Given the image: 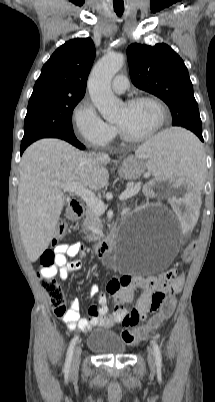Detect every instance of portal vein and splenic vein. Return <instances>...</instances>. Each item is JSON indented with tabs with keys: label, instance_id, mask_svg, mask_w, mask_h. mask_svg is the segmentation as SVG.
<instances>
[{
	"label": "portal vein and splenic vein",
	"instance_id": "portal-vein-and-splenic-vein-1",
	"mask_svg": "<svg viewBox=\"0 0 215 402\" xmlns=\"http://www.w3.org/2000/svg\"><path fill=\"white\" fill-rule=\"evenodd\" d=\"M57 186L61 187L64 192L74 193L77 196L81 197L87 206L92 209L94 212L98 214H103L105 212V204L98 199L93 192L82 186L78 182H70V183H61L56 184ZM141 185L138 184L137 186H132L127 188L119 197L120 200H125L137 194L140 191Z\"/></svg>",
	"mask_w": 215,
	"mask_h": 402
}]
</instances>
